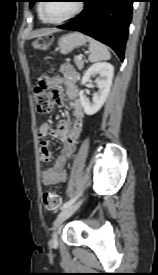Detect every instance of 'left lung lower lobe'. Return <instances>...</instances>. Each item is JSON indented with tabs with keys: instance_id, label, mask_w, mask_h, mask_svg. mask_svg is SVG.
Masks as SVG:
<instances>
[{
	"instance_id": "left-lung-lower-lobe-1",
	"label": "left lung lower lobe",
	"mask_w": 158,
	"mask_h": 275,
	"mask_svg": "<svg viewBox=\"0 0 158 275\" xmlns=\"http://www.w3.org/2000/svg\"><path fill=\"white\" fill-rule=\"evenodd\" d=\"M85 8L61 29L80 31L110 46L121 60L132 18L134 0H85Z\"/></svg>"
}]
</instances>
